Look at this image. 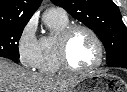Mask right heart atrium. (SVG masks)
<instances>
[{"instance_id": "obj_1", "label": "right heart atrium", "mask_w": 127, "mask_h": 92, "mask_svg": "<svg viewBox=\"0 0 127 92\" xmlns=\"http://www.w3.org/2000/svg\"><path fill=\"white\" fill-rule=\"evenodd\" d=\"M16 50L20 64L27 69H35L39 61V40L35 34V26L29 22L21 30Z\"/></svg>"}]
</instances>
